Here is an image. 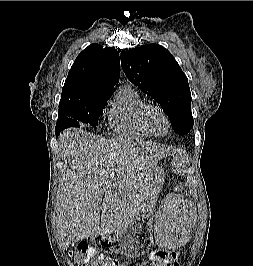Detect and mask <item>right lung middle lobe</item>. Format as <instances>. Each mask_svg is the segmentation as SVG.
Here are the masks:
<instances>
[{
    "label": "right lung middle lobe",
    "instance_id": "obj_1",
    "mask_svg": "<svg viewBox=\"0 0 253 266\" xmlns=\"http://www.w3.org/2000/svg\"><path fill=\"white\" fill-rule=\"evenodd\" d=\"M111 95L95 97L86 102L59 104L56 128L63 130L70 126L78 127L80 121L96 128L98 119Z\"/></svg>",
    "mask_w": 253,
    "mask_h": 266
}]
</instances>
